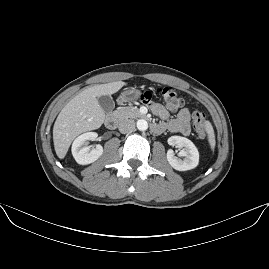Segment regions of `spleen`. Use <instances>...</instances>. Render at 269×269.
<instances>
[{"label":"spleen","instance_id":"3e777b00","mask_svg":"<svg viewBox=\"0 0 269 269\" xmlns=\"http://www.w3.org/2000/svg\"><path fill=\"white\" fill-rule=\"evenodd\" d=\"M205 130L208 134V141L211 146V149L214 150L215 144H216L215 135H214L213 127L209 121H205Z\"/></svg>","mask_w":269,"mask_h":269}]
</instances>
